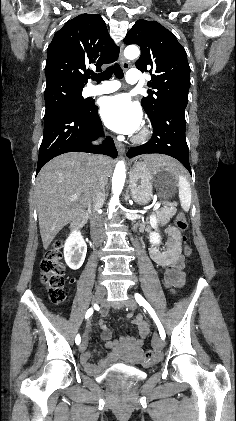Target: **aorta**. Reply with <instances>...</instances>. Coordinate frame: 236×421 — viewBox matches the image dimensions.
Wrapping results in <instances>:
<instances>
[{
  "label": "aorta",
  "instance_id": "obj_1",
  "mask_svg": "<svg viewBox=\"0 0 236 421\" xmlns=\"http://www.w3.org/2000/svg\"><path fill=\"white\" fill-rule=\"evenodd\" d=\"M139 54L140 50L138 46H135V44H129V46H126L124 50V56H126V58H137ZM125 170L126 168L124 160H118L115 166L114 174L112 176L113 196H111L109 202L108 219H112L115 208L117 204H119V194H121L122 192V188L124 186L126 178Z\"/></svg>",
  "mask_w": 236,
  "mask_h": 421
}]
</instances>
